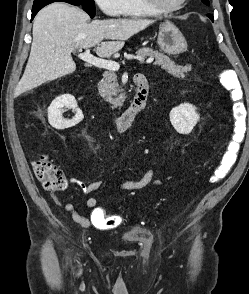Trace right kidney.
<instances>
[{
    "mask_svg": "<svg viewBox=\"0 0 249 294\" xmlns=\"http://www.w3.org/2000/svg\"><path fill=\"white\" fill-rule=\"evenodd\" d=\"M73 109L76 114L70 120L62 118L63 108ZM84 116L82 111L78 108L74 96L64 94L52 101L48 108V121L52 127L58 130H64L77 125L83 120Z\"/></svg>",
    "mask_w": 249,
    "mask_h": 294,
    "instance_id": "ca27d5eb",
    "label": "right kidney"
}]
</instances>
